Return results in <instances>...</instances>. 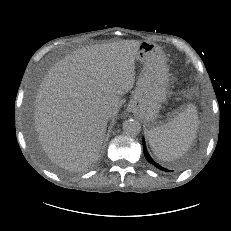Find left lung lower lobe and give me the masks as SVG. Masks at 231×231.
Masks as SVG:
<instances>
[{"mask_svg":"<svg viewBox=\"0 0 231 231\" xmlns=\"http://www.w3.org/2000/svg\"><path fill=\"white\" fill-rule=\"evenodd\" d=\"M143 148H144V155H145V158H146V160H147L151 165H153L154 167H156V168L159 169V170H162V171H165V172H172V170H168V169L162 167L161 165H159L158 163H156V162H154V161L152 160V158L149 156V154H148V152H147L144 139H143Z\"/></svg>","mask_w":231,"mask_h":231,"instance_id":"0a47b994","label":"left lung lower lobe"}]
</instances>
